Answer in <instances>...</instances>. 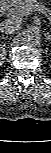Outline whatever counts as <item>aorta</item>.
Wrapping results in <instances>:
<instances>
[{
	"instance_id": "1",
	"label": "aorta",
	"mask_w": 51,
	"mask_h": 153,
	"mask_svg": "<svg viewBox=\"0 0 51 153\" xmlns=\"http://www.w3.org/2000/svg\"><path fill=\"white\" fill-rule=\"evenodd\" d=\"M40 41V32L37 28L30 27L21 34V42L25 45L35 46Z\"/></svg>"
}]
</instances>
